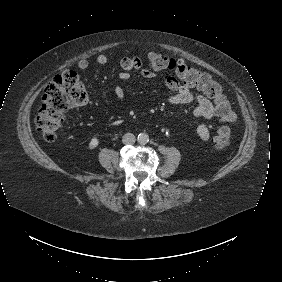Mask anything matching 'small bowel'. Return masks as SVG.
<instances>
[{"label": "small bowel", "mask_w": 282, "mask_h": 282, "mask_svg": "<svg viewBox=\"0 0 282 282\" xmlns=\"http://www.w3.org/2000/svg\"><path fill=\"white\" fill-rule=\"evenodd\" d=\"M96 62L99 65H105L108 62V58L104 54H99L96 57ZM89 60L82 58L77 62V67L80 69H86L89 67ZM121 71L118 74V80L120 82H127L131 78V71H137L141 78L154 80L158 79L159 75L142 66L141 60L136 57H123L120 60ZM164 85L171 91L165 97V101L171 105H188L195 103L193 110V116L196 119H212L217 116V112L213 106V102L202 93V89L198 87L199 91H192L189 86L181 84L176 78L170 75H164L161 77ZM114 92L118 100L122 101L125 98V92L122 86L116 85ZM218 117V116H217ZM196 133L202 141H207L210 138V130L207 125L199 124L196 127Z\"/></svg>", "instance_id": "small-bowel-1"}]
</instances>
